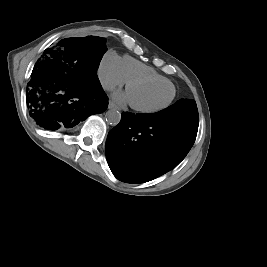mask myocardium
I'll return each mask as SVG.
<instances>
[{
	"label": "myocardium",
	"mask_w": 267,
	"mask_h": 267,
	"mask_svg": "<svg viewBox=\"0 0 267 267\" xmlns=\"http://www.w3.org/2000/svg\"><path fill=\"white\" fill-rule=\"evenodd\" d=\"M144 83H154V84H161V85H169L173 89V94H172L171 98L165 104H162L160 106L142 107L140 105H137V104H134V103L130 102V105L134 110H136L138 112H141V113H155V112H159V111H162V110L166 109L167 107H169L172 104V102L174 101V99L176 97V94H177L176 87L172 82L165 83L163 81H159V80H156L154 78L138 77V78H133V79L128 80L127 84H126V88L128 90L132 85L144 84Z\"/></svg>",
	"instance_id": "1"
}]
</instances>
